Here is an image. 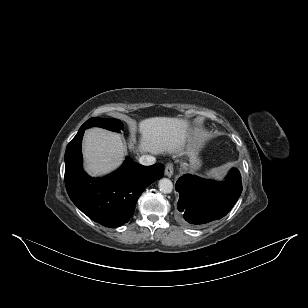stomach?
I'll use <instances>...</instances> for the list:
<instances>
[{
    "mask_svg": "<svg viewBox=\"0 0 308 308\" xmlns=\"http://www.w3.org/2000/svg\"><path fill=\"white\" fill-rule=\"evenodd\" d=\"M189 167L191 170H196L200 166L199 160V144L196 141L190 143L188 151Z\"/></svg>",
    "mask_w": 308,
    "mask_h": 308,
    "instance_id": "obj_1",
    "label": "stomach"
}]
</instances>
